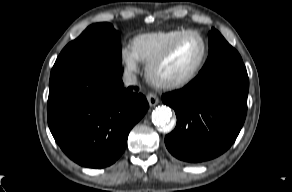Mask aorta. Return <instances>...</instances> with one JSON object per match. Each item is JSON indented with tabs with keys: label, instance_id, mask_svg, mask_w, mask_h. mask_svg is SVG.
Returning <instances> with one entry per match:
<instances>
[{
	"label": "aorta",
	"instance_id": "obj_1",
	"mask_svg": "<svg viewBox=\"0 0 292 192\" xmlns=\"http://www.w3.org/2000/svg\"><path fill=\"white\" fill-rule=\"evenodd\" d=\"M172 111L169 107L159 106L152 112V122L162 132H169L172 130L173 125L171 123Z\"/></svg>",
	"mask_w": 292,
	"mask_h": 192
}]
</instances>
